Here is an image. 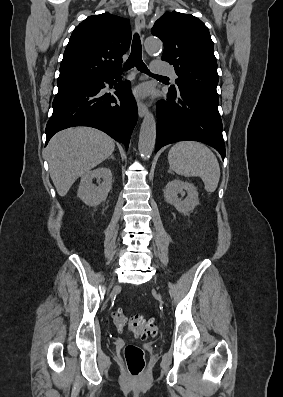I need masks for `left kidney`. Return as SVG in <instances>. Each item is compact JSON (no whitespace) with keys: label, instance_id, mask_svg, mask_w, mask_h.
I'll return each mask as SVG.
<instances>
[{"label":"left kidney","instance_id":"5707ae66","mask_svg":"<svg viewBox=\"0 0 283 397\" xmlns=\"http://www.w3.org/2000/svg\"><path fill=\"white\" fill-rule=\"evenodd\" d=\"M184 191L187 192V197L182 200L178 198V194L184 195ZM164 198L167 203L173 205L178 212L184 215H188L199 204L196 187L181 180H172L167 183L164 189Z\"/></svg>","mask_w":283,"mask_h":397}]
</instances>
